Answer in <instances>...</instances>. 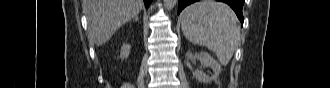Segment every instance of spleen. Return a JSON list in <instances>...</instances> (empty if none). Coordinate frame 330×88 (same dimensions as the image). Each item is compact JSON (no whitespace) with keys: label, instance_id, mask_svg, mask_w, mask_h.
Segmentation results:
<instances>
[{"label":"spleen","instance_id":"1","mask_svg":"<svg viewBox=\"0 0 330 88\" xmlns=\"http://www.w3.org/2000/svg\"><path fill=\"white\" fill-rule=\"evenodd\" d=\"M181 28L195 45L213 51L222 65H227L238 47L240 30L233 10L225 3L203 0L181 13Z\"/></svg>","mask_w":330,"mask_h":88}]
</instances>
